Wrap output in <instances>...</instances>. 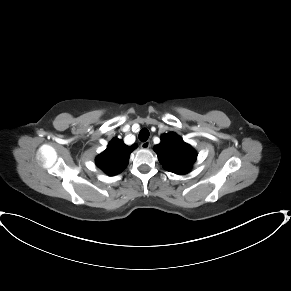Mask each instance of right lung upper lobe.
Returning <instances> with one entry per match:
<instances>
[{"label":"right lung upper lobe","instance_id":"1","mask_svg":"<svg viewBox=\"0 0 291 291\" xmlns=\"http://www.w3.org/2000/svg\"><path fill=\"white\" fill-rule=\"evenodd\" d=\"M136 147V144L127 146L122 140L113 138L107 149L96 157V165L110 176L119 174L126 168L130 153Z\"/></svg>","mask_w":291,"mask_h":291}]
</instances>
